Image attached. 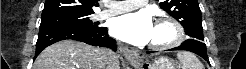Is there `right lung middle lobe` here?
<instances>
[{"mask_svg":"<svg viewBox=\"0 0 246 69\" xmlns=\"http://www.w3.org/2000/svg\"><path fill=\"white\" fill-rule=\"evenodd\" d=\"M92 14H60L41 18L40 27L45 26H70L85 29L98 28L91 20Z\"/></svg>","mask_w":246,"mask_h":69,"instance_id":"right-lung-middle-lobe-1","label":"right lung middle lobe"}]
</instances>
